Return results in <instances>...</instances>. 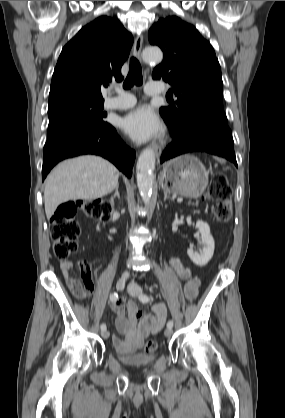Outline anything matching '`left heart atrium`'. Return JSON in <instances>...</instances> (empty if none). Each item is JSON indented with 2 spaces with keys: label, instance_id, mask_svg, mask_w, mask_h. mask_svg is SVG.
I'll list each match as a JSON object with an SVG mask.
<instances>
[{
  "label": "left heart atrium",
  "instance_id": "1",
  "mask_svg": "<svg viewBox=\"0 0 285 418\" xmlns=\"http://www.w3.org/2000/svg\"><path fill=\"white\" fill-rule=\"evenodd\" d=\"M122 128L133 141L142 143L158 135L162 124L153 109L140 106L125 116Z\"/></svg>",
  "mask_w": 285,
  "mask_h": 418
}]
</instances>
